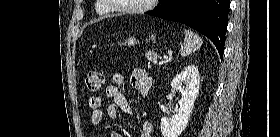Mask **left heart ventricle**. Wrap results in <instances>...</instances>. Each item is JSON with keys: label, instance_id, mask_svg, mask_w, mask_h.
<instances>
[{"label": "left heart ventricle", "instance_id": "left-heart-ventricle-1", "mask_svg": "<svg viewBox=\"0 0 280 137\" xmlns=\"http://www.w3.org/2000/svg\"><path fill=\"white\" fill-rule=\"evenodd\" d=\"M119 3L122 7L139 6L144 3V0H120Z\"/></svg>", "mask_w": 280, "mask_h": 137}]
</instances>
